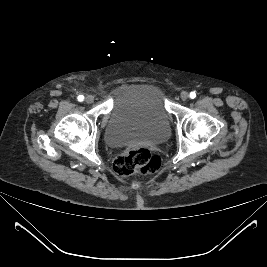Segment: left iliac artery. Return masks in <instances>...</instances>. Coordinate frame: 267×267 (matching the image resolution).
<instances>
[{"label":"left iliac artery","mask_w":267,"mask_h":267,"mask_svg":"<svg viewBox=\"0 0 267 267\" xmlns=\"http://www.w3.org/2000/svg\"><path fill=\"white\" fill-rule=\"evenodd\" d=\"M190 97H191L192 99L195 98V97H196L195 92H191V93H190Z\"/></svg>","instance_id":"left-iliac-artery-1"}]
</instances>
